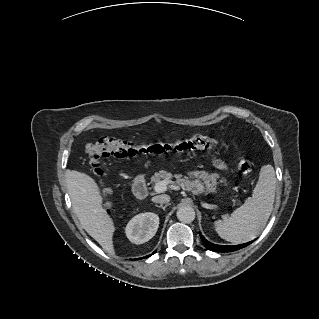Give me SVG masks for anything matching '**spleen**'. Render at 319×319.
Listing matches in <instances>:
<instances>
[{
	"mask_svg": "<svg viewBox=\"0 0 319 319\" xmlns=\"http://www.w3.org/2000/svg\"><path fill=\"white\" fill-rule=\"evenodd\" d=\"M276 176L272 165L261 168L252 197L237 208L230 217L215 221L218 235L232 243H244L256 238L264 229L273 210Z\"/></svg>",
	"mask_w": 319,
	"mask_h": 319,
	"instance_id": "3e777b00",
	"label": "spleen"
}]
</instances>
